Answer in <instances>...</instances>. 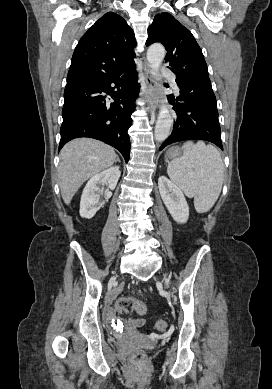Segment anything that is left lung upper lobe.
<instances>
[{
	"instance_id": "obj_1",
	"label": "left lung upper lobe",
	"mask_w": 272,
	"mask_h": 389,
	"mask_svg": "<svg viewBox=\"0 0 272 389\" xmlns=\"http://www.w3.org/2000/svg\"><path fill=\"white\" fill-rule=\"evenodd\" d=\"M161 42L167 54L166 62L175 73L176 80L184 78H209L207 64L201 48L192 33L171 14H157L148 28L146 45Z\"/></svg>"
}]
</instances>
